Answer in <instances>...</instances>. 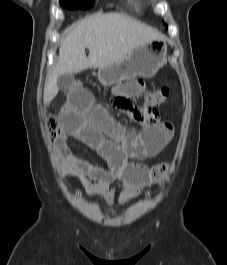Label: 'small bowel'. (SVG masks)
<instances>
[{
	"label": "small bowel",
	"mask_w": 227,
	"mask_h": 265,
	"mask_svg": "<svg viewBox=\"0 0 227 265\" xmlns=\"http://www.w3.org/2000/svg\"><path fill=\"white\" fill-rule=\"evenodd\" d=\"M116 88L111 107L117 112H141L132 99L117 96L142 92L144 81H122ZM62 99L60 135L56 144L62 157L64 172L76 178L86 192L105 204L118 201L125 206L141 189L158 180L151 168L140 161L157 156L170 142L173 127L168 123L149 126L141 132L127 131L114 120L86 87H67ZM73 137L94 150L108 164V169L94 165L74 154L67 144ZM161 178V177H160Z\"/></svg>",
	"instance_id": "small-bowel-1"
}]
</instances>
